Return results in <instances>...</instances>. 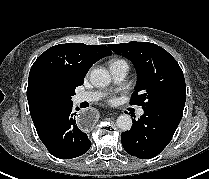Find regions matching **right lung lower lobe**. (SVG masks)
<instances>
[{
    "label": "right lung lower lobe",
    "instance_id": "98d812e1",
    "mask_svg": "<svg viewBox=\"0 0 209 179\" xmlns=\"http://www.w3.org/2000/svg\"><path fill=\"white\" fill-rule=\"evenodd\" d=\"M78 111L79 108L77 107ZM73 103L63 106L42 123L35 126L38 136L48 151L55 157L71 159L83 155L91 141L76 124Z\"/></svg>",
    "mask_w": 209,
    "mask_h": 179
}]
</instances>
